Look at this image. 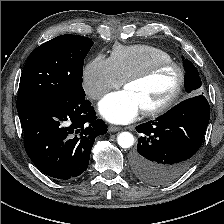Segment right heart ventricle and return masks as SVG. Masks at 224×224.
<instances>
[{"mask_svg": "<svg viewBox=\"0 0 224 224\" xmlns=\"http://www.w3.org/2000/svg\"><path fill=\"white\" fill-rule=\"evenodd\" d=\"M115 71L122 81L141 72L153 63L171 61V55L154 46L137 44L116 46L110 56Z\"/></svg>", "mask_w": 224, "mask_h": 224, "instance_id": "right-heart-ventricle-1", "label": "right heart ventricle"}]
</instances>
